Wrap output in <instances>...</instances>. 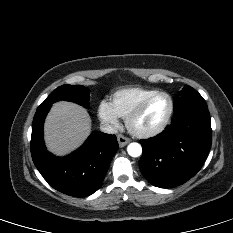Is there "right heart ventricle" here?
Segmentation results:
<instances>
[{
  "instance_id": "right-heart-ventricle-1",
  "label": "right heart ventricle",
  "mask_w": 233,
  "mask_h": 233,
  "mask_svg": "<svg viewBox=\"0 0 233 233\" xmlns=\"http://www.w3.org/2000/svg\"><path fill=\"white\" fill-rule=\"evenodd\" d=\"M156 91L144 87L122 88L112 94L110 104L119 117L126 118L145 97Z\"/></svg>"
}]
</instances>
